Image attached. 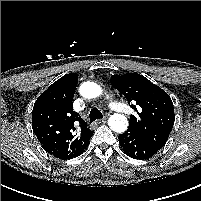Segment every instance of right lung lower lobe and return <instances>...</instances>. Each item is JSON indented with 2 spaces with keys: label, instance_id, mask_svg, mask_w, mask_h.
<instances>
[{
  "label": "right lung lower lobe",
  "instance_id": "1",
  "mask_svg": "<svg viewBox=\"0 0 201 201\" xmlns=\"http://www.w3.org/2000/svg\"><path fill=\"white\" fill-rule=\"evenodd\" d=\"M93 134V133H92ZM92 134L89 136V138L86 140L85 144L82 146V148L79 150V152H77L76 154L74 155H70V156H65V157H60L61 159H70V158H73V157H76L78 155H80L84 149L86 148V146L89 144V139L90 137L92 136Z\"/></svg>",
  "mask_w": 201,
  "mask_h": 201
}]
</instances>
